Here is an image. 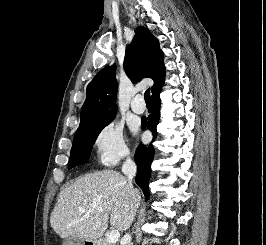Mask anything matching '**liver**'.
<instances>
[{
    "instance_id": "1",
    "label": "liver",
    "mask_w": 266,
    "mask_h": 245,
    "mask_svg": "<svg viewBox=\"0 0 266 245\" xmlns=\"http://www.w3.org/2000/svg\"><path fill=\"white\" fill-rule=\"evenodd\" d=\"M134 191L132 199L125 177L111 169L83 175L62 189L50 225L61 239L97 241L108 229L110 215L112 229L127 231L141 201L138 189Z\"/></svg>"
}]
</instances>
